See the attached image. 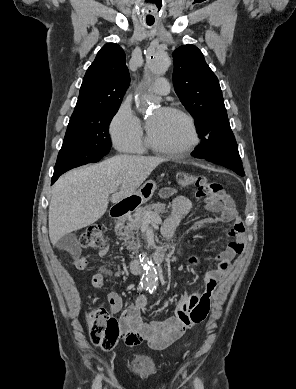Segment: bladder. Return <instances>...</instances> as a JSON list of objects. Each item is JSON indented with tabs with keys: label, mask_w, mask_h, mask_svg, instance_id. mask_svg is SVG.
<instances>
[{
	"label": "bladder",
	"mask_w": 296,
	"mask_h": 389,
	"mask_svg": "<svg viewBox=\"0 0 296 389\" xmlns=\"http://www.w3.org/2000/svg\"><path fill=\"white\" fill-rule=\"evenodd\" d=\"M129 372L137 377H146L156 370L155 363L151 357L143 353H134L127 362Z\"/></svg>",
	"instance_id": "31cf9c89"
}]
</instances>
